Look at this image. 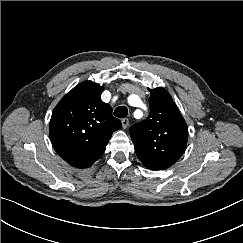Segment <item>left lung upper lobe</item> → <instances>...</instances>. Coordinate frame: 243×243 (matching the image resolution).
I'll list each match as a JSON object with an SVG mask.
<instances>
[{
	"label": "left lung upper lobe",
	"instance_id": "left-lung-upper-lobe-1",
	"mask_svg": "<svg viewBox=\"0 0 243 243\" xmlns=\"http://www.w3.org/2000/svg\"><path fill=\"white\" fill-rule=\"evenodd\" d=\"M150 114L130 128L136 154L151 170H164L182 156L188 128L178 107L164 88L149 89Z\"/></svg>",
	"mask_w": 243,
	"mask_h": 243
}]
</instances>
